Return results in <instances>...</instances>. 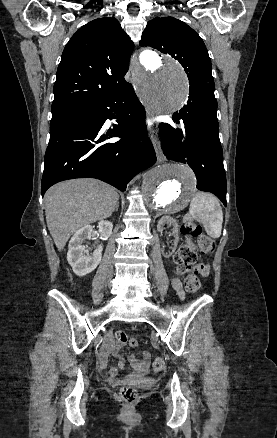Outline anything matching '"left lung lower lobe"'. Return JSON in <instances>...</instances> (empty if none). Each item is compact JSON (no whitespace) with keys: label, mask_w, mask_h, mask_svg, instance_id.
I'll return each mask as SVG.
<instances>
[{"label":"left lung lower lobe","mask_w":277,"mask_h":438,"mask_svg":"<svg viewBox=\"0 0 277 438\" xmlns=\"http://www.w3.org/2000/svg\"><path fill=\"white\" fill-rule=\"evenodd\" d=\"M215 98H189L179 113L172 117L180 128L159 125L164 155L168 160L188 163L197 177V188L215 194L226 206V175L219 139Z\"/></svg>","instance_id":"1"}]
</instances>
